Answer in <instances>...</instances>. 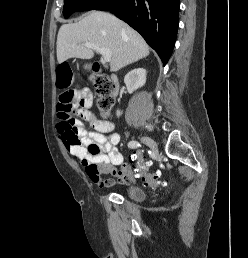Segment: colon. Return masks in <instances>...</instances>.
<instances>
[{
  "instance_id": "obj_1",
  "label": "colon",
  "mask_w": 248,
  "mask_h": 258,
  "mask_svg": "<svg viewBox=\"0 0 248 258\" xmlns=\"http://www.w3.org/2000/svg\"><path fill=\"white\" fill-rule=\"evenodd\" d=\"M59 77L58 84L60 87L65 88V92L62 94V98L57 106V115L59 119L58 127L62 131L66 132L67 139L70 142L78 143V136L74 127V120L72 114L76 105V89L68 86L71 77L70 69L65 64L58 66ZM91 82L95 88L98 96L97 106L101 114L106 117L114 104L113 90L114 86L111 80L102 74H97L91 77ZM100 154V147L97 143L92 142L88 146V156L96 157ZM144 155L142 151H132L129 155L130 168L129 173L133 175H139V179H142V183L145 186L153 187L163 184V180L159 172L148 173V163H145L143 159ZM87 173L95 180L99 178V168L96 163H92L86 166Z\"/></svg>"
}]
</instances>
